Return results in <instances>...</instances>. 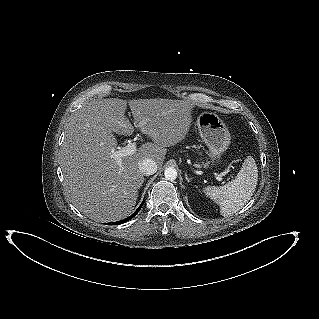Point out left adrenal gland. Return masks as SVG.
<instances>
[{
    "mask_svg": "<svg viewBox=\"0 0 319 319\" xmlns=\"http://www.w3.org/2000/svg\"><path fill=\"white\" fill-rule=\"evenodd\" d=\"M185 178H186L187 182H189V181H190V178H188L187 173H185Z\"/></svg>",
    "mask_w": 319,
    "mask_h": 319,
    "instance_id": "a2214340",
    "label": "left adrenal gland"
}]
</instances>
